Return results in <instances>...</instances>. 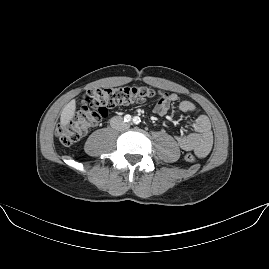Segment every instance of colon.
Wrapping results in <instances>:
<instances>
[{"instance_id":"obj_1","label":"colon","mask_w":269,"mask_h":269,"mask_svg":"<svg viewBox=\"0 0 269 269\" xmlns=\"http://www.w3.org/2000/svg\"><path fill=\"white\" fill-rule=\"evenodd\" d=\"M155 94V90L147 86L120 85L104 89L88 87L83 92L84 107L75 112L67 124L57 126L56 136L62 144L73 145L95 129L110 108L150 99ZM184 159L195 162L198 157L187 153Z\"/></svg>"}]
</instances>
